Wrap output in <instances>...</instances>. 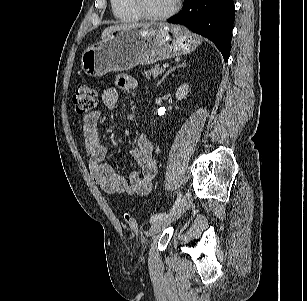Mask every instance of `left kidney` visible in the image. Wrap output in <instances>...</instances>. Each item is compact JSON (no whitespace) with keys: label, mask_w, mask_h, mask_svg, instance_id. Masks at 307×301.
I'll list each match as a JSON object with an SVG mask.
<instances>
[{"label":"left kidney","mask_w":307,"mask_h":301,"mask_svg":"<svg viewBox=\"0 0 307 301\" xmlns=\"http://www.w3.org/2000/svg\"><path fill=\"white\" fill-rule=\"evenodd\" d=\"M189 92V85L188 84H183L181 85L177 91H176V99L177 100H183Z\"/></svg>","instance_id":"left-kidney-1"}]
</instances>
